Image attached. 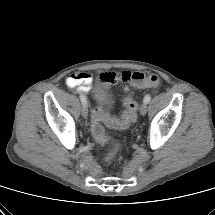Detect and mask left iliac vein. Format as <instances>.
I'll return each instance as SVG.
<instances>
[{"label": "left iliac vein", "mask_w": 215, "mask_h": 215, "mask_svg": "<svg viewBox=\"0 0 215 215\" xmlns=\"http://www.w3.org/2000/svg\"><path fill=\"white\" fill-rule=\"evenodd\" d=\"M140 113H141V115H146V113H147V104L146 103H142V105H141V107H140Z\"/></svg>", "instance_id": "1"}]
</instances>
